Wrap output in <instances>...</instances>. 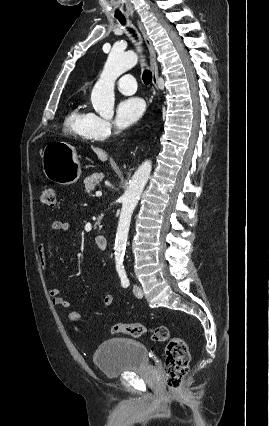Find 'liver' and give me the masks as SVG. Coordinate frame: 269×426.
I'll use <instances>...</instances> for the list:
<instances>
[{
	"label": "liver",
	"mask_w": 269,
	"mask_h": 426,
	"mask_svg": "<svg viewBox=\"0 0 269 426\" xmlns=\"http://www.w3.org/2000/svg\"><path fill=\"white\" fill-rule=\"evenodd\" d=\"M92 150L94 151V153L98 156V158L101 161H106L108 159L106 152L103 151L102 149H100L98 147H92Z\"/></svg>",
	"instance_id": "6515ba94"
}]
</instances>
